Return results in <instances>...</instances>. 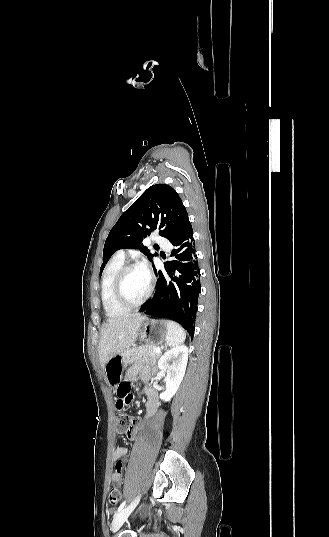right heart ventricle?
<instances>
[{
	"label": "right heart ventricle",
	"mask_w": 329,
	"mask_h": 537,
	"mask_svg": "<svg viewBox=\"0 0 329 537\" xmlns=\"http://www.w3.org/2000/svg\"><path fill=\"white\" fill-rule=\"evenodd\" d=\"M124 259L114 256L107 264L101 279V301L106 314L110 317L124 315L128 309L122 307L115 298V280Z\"/></svg>",
	"instance_id": "e07e8e85"
}]
</instances>
